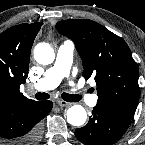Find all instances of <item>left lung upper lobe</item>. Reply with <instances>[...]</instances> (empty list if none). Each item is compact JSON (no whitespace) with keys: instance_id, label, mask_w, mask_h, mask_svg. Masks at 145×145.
<instances>
[{"instance_id":"1","label":"left lung upper lobe","mask_w":145,"mask_h":145,"mask_svg":"<svg viewBox=\"0 0 145 145\" xmlns=\"http://www.w3.org/2000/svg\"><path fill=\"white\" fill-rule=\"evenodd\" d=\"M56 28L74 41L85 79L95 77L96 106L131 120L139 95V70L126 42L91 20H64Z\"/></svg>"}]
</instances>
